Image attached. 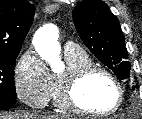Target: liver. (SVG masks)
<instances>
[{
  "instance_id": "obj_1",
  "label": "liver",
  "mask_w": 142,
  "mask_h": 119,
  "mask_svg": "<svg viewBox=\"0 0 142 119\" xmlns=\"http://www.w3.org/2000/svg\"><path fill=\"white\" fill-rule=\"evenodd\" d=\"M65 116L31 112L25 114H0V119H65Z\"/></svg>"
}]
</instances>
